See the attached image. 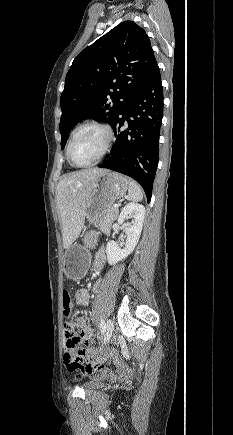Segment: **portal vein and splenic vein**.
Instances as JSON below:
<instances>
[{"instance_id":"18ae733b","label":"portal vein and splenic vein","mask_w":233,"mask_h":435,"mask_svg":"<svg viewBox=\"0 0 233 435\" xmlns=\"http://www.w3.org/2000/svg\"><path fill=\"white\" fill-rule=\"evenodd\" d=\"M113 207H114V208H118V205L115 204Z\"/></svg>"}]
</instances>
